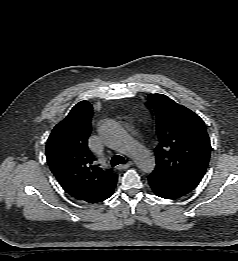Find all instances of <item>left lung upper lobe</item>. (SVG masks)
<instances>
[{"label":"left lung upper lobe","instance_id":"5c2ea615","mask_svg":"<svg viewBox=\"0 0 238 261\" xmlns=\"http://www.w3.org/2000/svg\"><path fill=\"white\" fill-rule=\"evenodd\" d=\"M149 100L159 139L150 176L186 195L199 184L209 163L211 144L205 124L166 95L150 94Z\"/></svg>","mask_w":238,"mask_h":261}]
</instances>
